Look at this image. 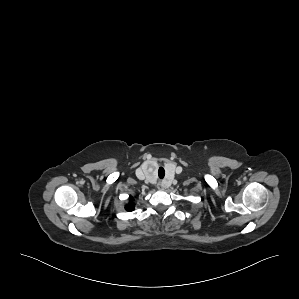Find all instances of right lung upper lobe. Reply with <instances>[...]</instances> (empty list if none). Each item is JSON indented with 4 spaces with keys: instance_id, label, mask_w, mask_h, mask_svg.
Returning a JSON list of instances; mask_svg holds the SVG:
<instances>
[{
    "instance_id": "cb5924a9",
    "label": "right lung upper lobe",
    "mask_w": 299,
    "mask_h": 299,
    "mask_svg": "<svg viewBox=\"0 0 299 299\" xmlns=\"http://www.w3.org/2000/svg\"><path fill=\"white\" fill-rule=\"evenodd\" d=\"M125 208H126L127 211H132V210H134V205H133V203L131 202L130 204H127V205L125 206Z\"/></svg>"
}]
</instances>
